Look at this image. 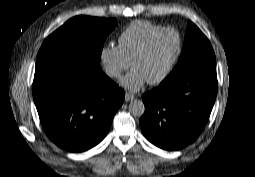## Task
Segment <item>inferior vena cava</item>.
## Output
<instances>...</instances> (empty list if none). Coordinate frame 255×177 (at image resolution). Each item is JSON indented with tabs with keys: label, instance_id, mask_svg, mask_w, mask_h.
I'll return each instance as SVG.
<instances>
[{
	"label": "inferior vena cava",
	"instance_id": "inferior-vena-cava-1",
	"mask_svg": "<svg viewBox=\"0 0 255 177\" xmlns=\"http://www.w3.org/2000/svg\"><path fill=\"white\" fill-rule=\"evenodd\" d=\"M106 74L109 76V77H117L119 76V72L117 70H114V69H108L106 70Z\"/></svg>",
	"mask_w": 255,
	"mask_h": 177
}]
</instances>
